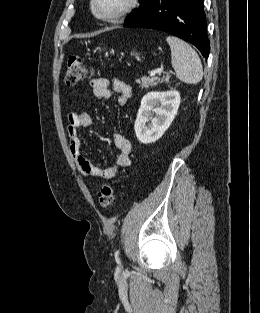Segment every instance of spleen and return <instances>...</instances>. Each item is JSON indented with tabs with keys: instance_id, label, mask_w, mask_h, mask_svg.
<instances>
[{
	"instance_id": "spleen-1",
	"label": "spleen",
	"mask_w": 260,
	"mask_h": 313,
	"mask_svg": "<svg viewBox=\"0 0 260 313\" xmlns=\"http://www.w3.org/2000/svg\"><path fill=\"white\" fill-rule=\"evenodd\" d=\"M166 41L171 49V63L176 77L187 84L199 83L203 78V68L196 51L178 37L168 36Z\"/></svg>"
}]
</instances>
